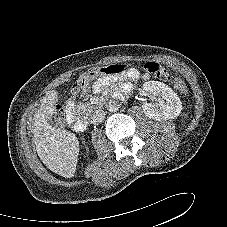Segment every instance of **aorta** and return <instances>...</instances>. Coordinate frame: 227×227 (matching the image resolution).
<instances>
[{"mask_svg": "<svg viewBox=\"0 0 227 227\" xmlns=\"http://www.w3.org/2000/svg\"><path fill=\"white\" fill-rule=\"evenodd\" d=\"M119 109V104L117 101L110 100L107 104V110L110 112H116Z\"/></svg>", "mask_w": 227, "mask_h": 227, "instance_id": "1", "label": "aorta"}]
</instances>
